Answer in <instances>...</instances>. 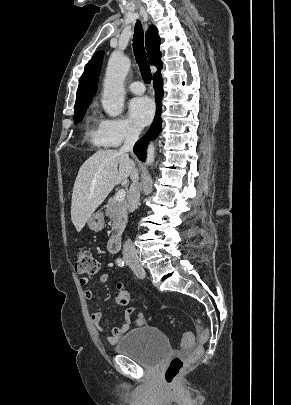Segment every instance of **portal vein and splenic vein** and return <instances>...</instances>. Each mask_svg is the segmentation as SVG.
<instances>
[{
    "instance_id": "1",
    "label": "portal vein and splenic vein",
    "mask_w": 291,
    "mask_h": 405,
    "mask_svg": "<svg viewBox=\"0 0 291 405\" xmlns=\"http://www.w3.org/2000/svg\"><path fill=\"white\" fill-rule=\"evenodd\" d=\"M125 196H126V192H125V190H119L118 192H117V194H116V197H115V200H117V201H123L124 200V198H125Z\"/></svg>"
}]
</instances>
